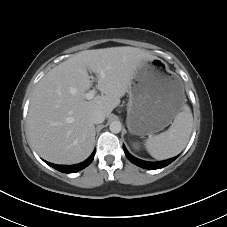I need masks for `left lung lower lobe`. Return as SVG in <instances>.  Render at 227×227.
<instances>
[{"instance_id": "0a47b994", "label": "left lung lower lobe", "mask_w": 227, "mask_h": 227, "mask_svg": "<svg viewBox=\"0 0 227 227\" xmlns=\"http://www.w3.org/2000/svg\"><path fill=\"white\" fill-rule=\"evenodd\" d=\"M123 149L125 152L126 157L129 159V161H131L133 164L142 167L144 169H160L163 168L167 165H169L171 162H173L177 157L165 160V161H161V162H147V161H143L140 159H137L135 157H133L125 148V146L123 145Z\"/></svg>"}]
</instances>
